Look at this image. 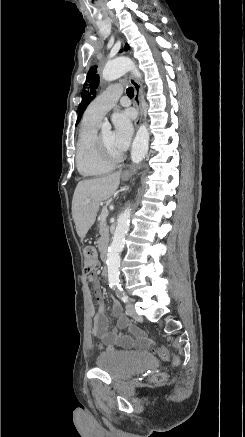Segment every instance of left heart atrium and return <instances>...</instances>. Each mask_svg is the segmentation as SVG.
I'll list each match as a JSON object with an SVG mask.
<instances>
[{"mask_svg":"<svg viewBox=\"0 0 245 437\" xmlns=\"http://www.w3.org/2000/svg\"><path fill=\"white\" fill-rule=\"evenodd\" d=\"M112 123L114 146L119 153L124 152L130 144L133 133L131 115L129 112H117L112 117Z\"/></svg>","mask_w":245,"mask_h":437,"instance_id":"1","label":"left heart atrium"}]
</instances>
